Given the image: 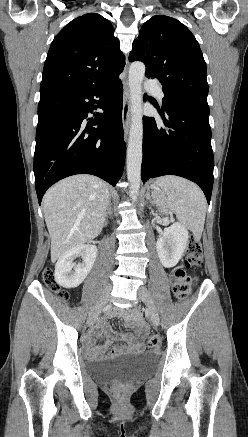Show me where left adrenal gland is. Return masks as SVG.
Here are the masks:
<instances>
[{
  "label": "left adrenal gland",
  "instance_id": "obj_1",
  "mask_svg": "<svg viewBox=\"0 0 248 437\" xmlns=\"http://www.w3.org/2000/svg\"><path fill=\"white\" fill-rule=\"evenodd\" d=\"M146 198L153 205V202H152V200L150 198V193L149 192H147Z\"/></svg>",
  "mask_w": 248,
  "mask_h": 437
}]
</instances>
